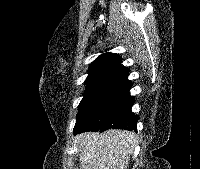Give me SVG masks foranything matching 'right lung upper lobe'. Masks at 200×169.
<instances>
[{"mask_svg":"<svg viewBox=\"0 0 200 169\" xmlns=\"http://www.w3.org/2000/svg\"><path fill=\"white\" fill-rule=\"evenodd\" d=\"M121 60L119 55L109 52L100 55L89 67L87 89L128 81L129 69L121 65Z\"/></svg>","mask_w":200,"mask_h":169,"instance_id":"obj_1","label":"right lung upper lobe"}]
</instances>
